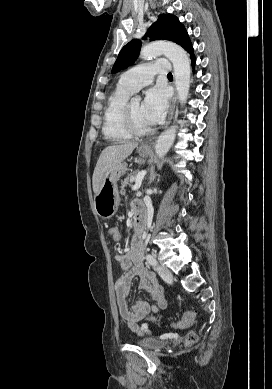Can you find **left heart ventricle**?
I'll list each match as a JSON object with an SVG mask.
<instances>
[{"label":"left heart ventricle","instance_id":"left-heart-ventricle-1","mask_svg":"<svg viewBox=\"0 0 272 389\" xmlns=\"http://www.w3.org/2000/svg\"><path fill=\"white\" fill-rule=\"evenodd\" d=\"M131 108L133 112L134 120L137 126L141 129L150 127V124L146 121L142 112V103L140 101H132Z\"/></svg>","mask_w":272,"mask_h":389}]
</instances>
